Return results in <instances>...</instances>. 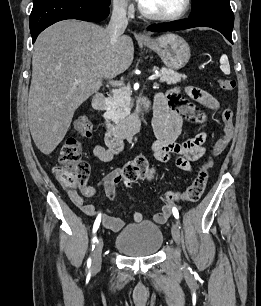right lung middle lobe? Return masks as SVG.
I'll list each match as a JSON object with an SVG mask.
<instances>
[{"mask_svg": "<svg viewBox=\"0 0 261 306\" xmlns=\"http://www.w3.org/2000/svg\"><path fill=\"white\" fill-rule=\"evenodd\" d=\"M100 4H103V5H109L110 4V0H94Z\"/></svg>", "mask_w": 261, "mask_h": 306, "instance_id": "1", "label": "right lung middle lobe"}]
</instances>
